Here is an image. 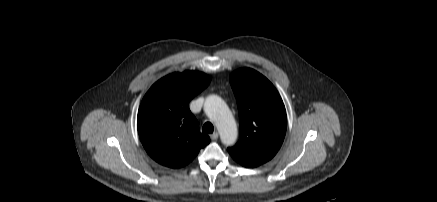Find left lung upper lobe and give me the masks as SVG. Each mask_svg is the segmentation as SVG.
I'll list each match as a JSON object with an SVG mask.
<instances>
[{"label": "left lung upper lobe", "instance_id": "left-lung-upper-lobe-1", "mask_svg": "<svg viewBox=\"0 0 437 202\" xmlns=\"http://www.w3.org/2000/svg\"><path fill=\"white\" fill-rule=\"evenodd\" d=\"M230 83L237 100L240 138L227 150L245 167L260 166L271 160L283 143L287 128L284 103L273 84L253 69L236 70Z\"/></svg>", "mask_w": 437, "mask_h": 202}]
</instances>
